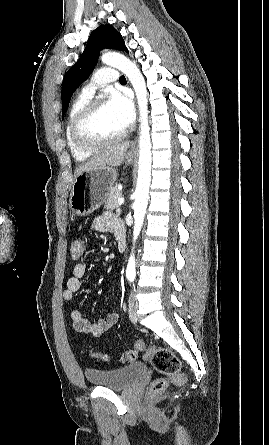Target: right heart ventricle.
<instances>
[{
  "label": "right heart ventricle",
  "mask_w": 269,
  "mask_h": 445,
  "mask_svg": "<svg viewBox=\"0 0 269 445\" xmlns=\"http://www.w3.org/2000/svg\"><path fill=\"white\" fill-rule=\"evenodd\" d=\"M91 98H92L91 95H88V94L82 92L74 99V101L70 107L69 113H68V119H67V124H66L67 145H68V148H69L73 158L78 162L87 160L89 157L92 156L94 151H85V150L80 149L78 146H76V144L73 142V140L71 138V124H72V121H73L74 117L76 116V114L80 111V109L85 104H87L91 100Z\"/></svg>",
  "instance_id": "right-heart-ventricle-1"
}]
</instances>
